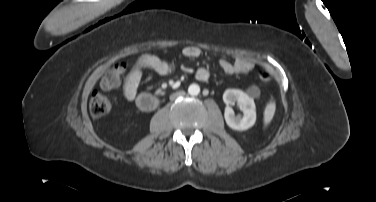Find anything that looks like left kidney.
Wrapping results in <instances>:
<instances>
[{"label": "left kidney", "mask_w": 376, "mask_h": 202, "mask_svg": "<svg viewBox=\"0 0 376 202\" xmlns=\"http://www.w3.org/2000/svg\"><path fill=\"white\" fill-rule=\"evenodd\" d=\"M223 101L227 105L225 108V121L234 130H247L256 122V106L254 100L246 93L238 89H227L223 94ZM237 102L241 106L243 116H235L230 105Z\"/></svg>", "instance_id": "1"}]
</instances>
